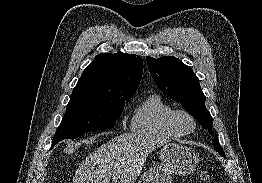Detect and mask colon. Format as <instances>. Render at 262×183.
<instances>
[{
    "label": "colon",
    "mask_w": 262,
    "mask_h": 183,
    "mask_svg": "<svg viewBox=\"0 0 262 183\" xmlns=\"http://www.w3.org/2000/svg\"><path fill=\"white\" fill-rule=\"evenodd\" d=\"M211 178V172L209 170H200L197 172V179L201 183H207Z\"/></svg>",
    "instance_id": "colon-1"
}]
</instances>
